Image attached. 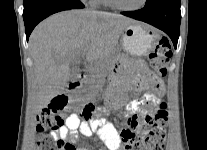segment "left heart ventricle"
<instances>
[{"label":"left heart ventricle","instance_id":"1","mask_svg":"<svg viewBox=\"0 0 207 150\" xmlns=\"http://www.w3.org/2000/svg\"><path fill=\"white\" fill-rule=\"evenodd\" d=\"M118 3L124 7H136L141 4L142 0H117Z\"/></svg>","mask_w":207,"mask_h":150}]
</instances>
